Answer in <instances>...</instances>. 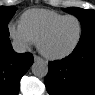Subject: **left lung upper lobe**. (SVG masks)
<instances>
[{
    "instance_id": "1",
    "label": "left lung upper lobe",
    "mask_w": 95,
    "mask_h": 95,
    "mask_svg": "<svg viewBox=\"0 0 95 95\" xmlns=\"http://www.w3.org/2000/svg\"><path fill=\"white\" fill-rule=\"evenodd\" d=\"M63 10L68 13L74 14L81 22L82 34H81L80 41L86 40L90 37H95V11L94 10L82 9L76 7H70Z\"/></svg>"
}]
</instances>
